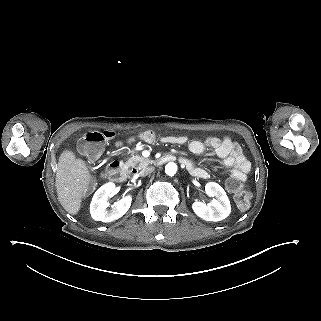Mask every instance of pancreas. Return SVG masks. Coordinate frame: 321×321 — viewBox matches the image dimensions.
Returning a JSON list of instances; mask_svg holds the SVG:
<instances>
[{
    "instance_id": "cf45deb5",
    "label": "pancreas",
    "mask_w": 321,
    "mask_h": 321,
    "mask_svg": "<svg viewBox=\"0 0 321 321\" xmlns=\"http://www.w3.org/2000/svg\"><path fill=\"white\" fill-rule=\"evenodd\" d=\"M151 163H153V161L148 158H144L140 155L132 154V156L124 164V168L125 169H128V168L142 169Z\"/></svg>"
}]
</instances>
